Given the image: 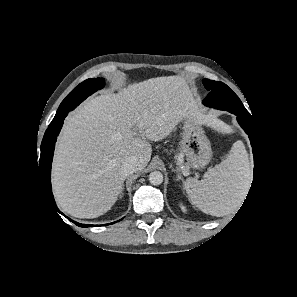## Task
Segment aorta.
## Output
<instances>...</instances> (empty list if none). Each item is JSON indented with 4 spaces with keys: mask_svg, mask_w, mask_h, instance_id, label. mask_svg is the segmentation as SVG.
Masks as SVG:
<instances>
[{
    "mask_svg": "<svg viewBox=\"0 0 297 297\" xmlns=\"http://www.w3.org/2000/svg\"><path fill=\"white\" fill-rule=\"evenodd\" d=\"M149 182L154 185H160L163 182V174L160 171H153L149 174Z\"/></svg>",
    "mask_w": 297,
    "mask_h": 297,
    "instance_id": "aorta-1",
    "label": "aorta"
}]
</instances>
